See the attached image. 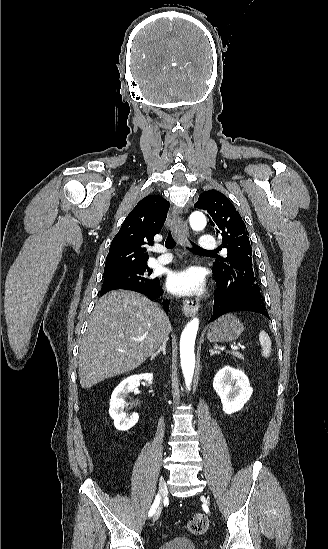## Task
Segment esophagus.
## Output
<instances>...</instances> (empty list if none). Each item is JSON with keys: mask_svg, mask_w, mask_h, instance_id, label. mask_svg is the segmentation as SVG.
<instances>
[{"mask_svg": "<svg viewBox=\"0 0 328 549\" xmlns=\"http://www.w3.org/2000/svg\"><path fill=\"white\" fill-rule=\"evenodd\" d=\"M167 225L170 227L174 237L177 238L178 242L181 245L183 246L189 245V242L186 238V236L188 235V229L184 224L183 220L172 209L168 213ZM198 309H199V303L196 299H193L192 297L184 299L182 312L186 317L194 316L198 312Z\"/></svg>", "mask_w": 328, "mask_h": 549, "instance_id": "esophagus-1", "label": "esophagus"}]
</instances>
